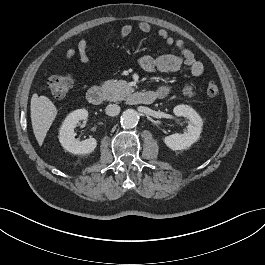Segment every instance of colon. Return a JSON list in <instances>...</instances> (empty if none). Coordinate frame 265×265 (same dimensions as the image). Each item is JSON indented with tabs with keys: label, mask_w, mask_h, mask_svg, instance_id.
I'll return each instance as SVG.
<instances>
[{
	"label": "colon",
	"mask_w": 265,
	"mask_h": 265,
	"mask_svg": "<svg viewBox=\"0 0 265 265\" xmlns=\"http://www.w3.org/2000/svg\"><path fill=\"white\" fill-rule=\"evenodd\" d=\"M47 89L51 96L60 100L65 98L73 86V79L69 75H53L47 80ZM219 85L215 82H210L207 85L206 93L210 97H215L219 94Z\"/></svg>",
	"instance_id": "1"
}]
</instances>
